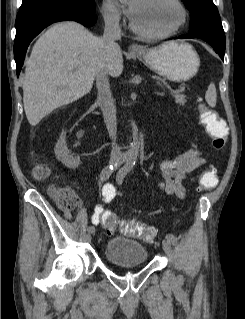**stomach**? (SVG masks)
Instances as JSON below:
<instances>
[{"label":"stomach","mask_w":245,"mask_h":319,"mask_svg":"<svg viewBox=\"0 0 245 319\" xmlns=\"http://www.w3.org/2000/svg\"><path fill=\"white\" fill-rule=\"evenodd\" d=\"M135 56L156 73L175 82L191 79L200 66L196 50L185 42H168Z\"/></svg>","instance_id":"1"}]
</instances>
